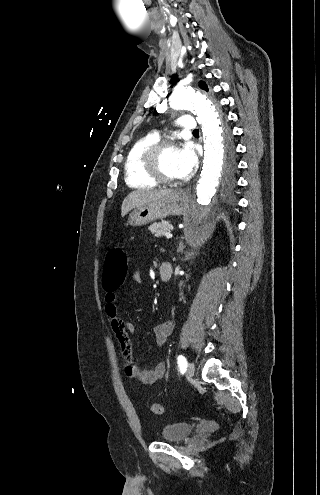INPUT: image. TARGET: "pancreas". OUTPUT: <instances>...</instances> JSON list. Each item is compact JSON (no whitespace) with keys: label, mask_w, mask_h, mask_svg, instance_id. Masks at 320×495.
<instances>
[{"label":"pancreas","mask_w":320,"mask_h":495,"mask_svg":"<svg viewBox=\"0 0 320 495\" xmlns=\"http://www.w3.org/2000/svg\"><path fill=\"white\" fill-rule=\"evenodd\" d=\"M149 231L156 237L166 236L173 230V226L166 220L155 222L149 226Z\"/></svg>","instance_id":"cf45deb5"}]
</instances>
